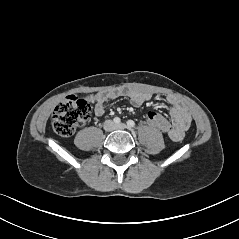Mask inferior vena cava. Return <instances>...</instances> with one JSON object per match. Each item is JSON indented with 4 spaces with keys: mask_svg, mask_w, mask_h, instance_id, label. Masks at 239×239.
Masks as SVG:
<instances>
[{
    "mask_svg": "<svg viewBox=\"0 0 239 239\" xmlns=\"http://www.w3.org/2000/svg\"><path fill=\"white\" fill-rule=\"evenodd\" d=\"M106 123H110V124H112L113 122H112V121H110V120H108V121H106Z\"/></svg>",
    "mask_w": 239,
    "mask_h": 239,
    "instance_id": "1",
    "label": "inferior vena cava"
}]
</instances>
